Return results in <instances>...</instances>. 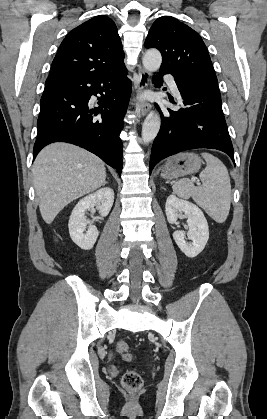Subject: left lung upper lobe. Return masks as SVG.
<instances>
[{"mask_svg":"<svg viewBox=\"0 0 267 419\" xmlns=\"http://www.w3.org/2000/svg\"><path fill=\"white\" fill-rule=\"evenodd\" d=\"M162 54L161 71L218 85L217 77L200 35L171 16L156 19L144 43Z\"/></svg>","mask_w":267,"mask_h":419,"instance_id":"left-lung-upper-lobe-1","label":"left lung upper lobe"}]
</instances>
